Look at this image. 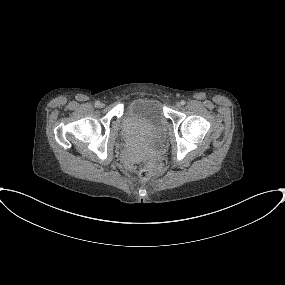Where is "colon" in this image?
Instances as JSON below:
<instances>
[{"label": "colon", "instance_id": "1", "mask_svg": "<svg viewBox=\"0 0 285 285\" xmlns=\"http://www.w3.org/2000/svg\"><path fill=\"white\" fill-rule=\"evenodd\" d=\"M131 169H138L140 178L142 180H147L154 175L158 169V164L153 160H147L140 165L132 164Z\"/></svg>", "mask_w": 285, "mask_h": 285}]
</instances>
